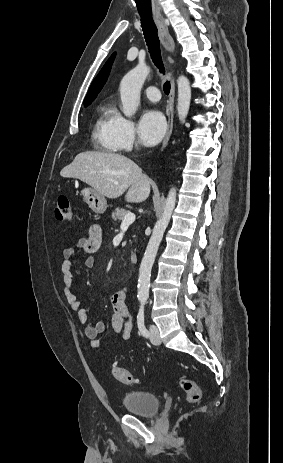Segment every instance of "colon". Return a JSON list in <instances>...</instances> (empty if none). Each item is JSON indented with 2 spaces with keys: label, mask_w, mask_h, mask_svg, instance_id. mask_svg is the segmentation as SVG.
I'll list each match as a JSON object with an SVG mask.
<instances>
[{
  "label": "colon",
  "mask_w": 283,
  "mask_h": 463,
  "mask_svg": "<svg viewBox=\"0 0 283 463\" xmlns=\"http://www.w3.org/2000/svg\"><path fill=\"white\" fill-rule=\"evenodd\" d=\"M56 218L60 222H70L73 220V209L71 200L67 196H60L55 209ZM113 376L117 381L126 385L136 383L135 377L125 368L115 366L112 370ZM180 388L185 394V400L188 403H197L201 398V390L199 386L187 377H181Z\"/></svg>",
  "instance_id": "obj_1"
}]
</instances>
